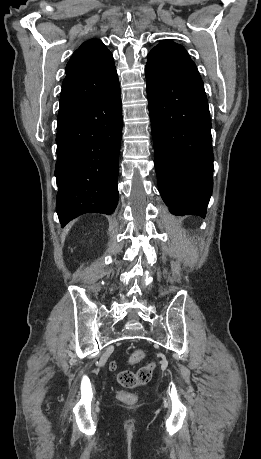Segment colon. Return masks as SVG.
Returning <instances> with one entry per match:
<instances>
[{
  "label": "colon",
  "mask_w": 261,
  "mask_h": 459,
  "mask_svg": "<svg viewBox=\"0 0 261 459\" xmlns=\"http://www.w3.org/2000/svg\"><path fill=\"white\" fill-rule=\"evenodd\" d=\"M144 358V352L142 350H134L129 360L132 364H137ZM111 369L115 370V364H111ZM155 364L150 363L146 366L141 367L136 372L130 370H121L117 373L116 378L118 383L124 388H133L138 385L146 384L150 381ZM119 398L124 402H131L134 400V396L131 393L121 391L118 394Z\"/></svg>",
  "instance_id": "5ec220e1"
}]
</instances>
